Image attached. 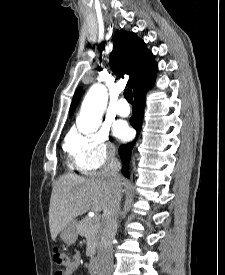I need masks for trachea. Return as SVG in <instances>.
<instances>
[{
  "label": "trachea",
  "mask_w": 225,
  "mask_h": 275,
  "mask_svg": "<svg viewBox=\"0 0 225 275\" xmlns=\"http://www.w3.org/2000/svg\"><path fill=\"white\" fill-rule=\"evenodd\" d=\"M124 97L126 98V100H127L130 104H134L133 95H132V89H131V88H127V89L124 91Z\"/></svg>",
  "instance_id": "1"
}]
</instances>
